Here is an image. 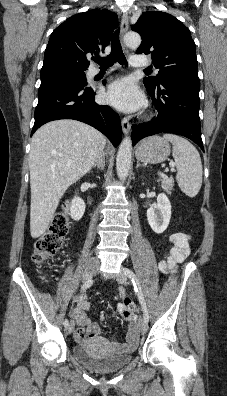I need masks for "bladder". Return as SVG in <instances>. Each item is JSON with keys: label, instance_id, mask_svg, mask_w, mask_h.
<instances>
[{"label": "bladder", "instance_id": "1", "mask_svg": "<svg viewBox=\"0 0 227 396\" xmlns=\"http://www.w3.org/2000/svg\"><path fill=\"white\" fill-rule=\"evenodd\" d=\"M72 354L80 364L94 372L116 371L132 359V352L104 354L90 342L75 345Z\"/></svg>", "mask_w": 227, "mask_h": 396}]
</instances>
